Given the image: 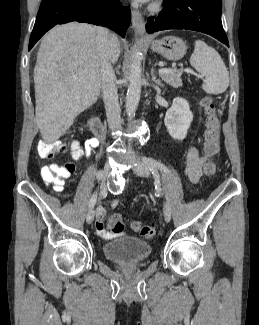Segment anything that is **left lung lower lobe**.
<instances>
[{"instance_id":"0a47b994","label":"left lung lower lobe","mask_w":259,"mask_h":325,"mask_svg":"<svg viewBox=\"0 0 259 325\" xmlns=\"http://www.w3.org/2000/svg\"><path fill=\"white\" fill-rule=\"evenodd\" d=\"M221 0H164L161 13L149 18L148 33L165 29H189L209 34L229 46L221 22Z\"/></svg>"}]
</instances>
